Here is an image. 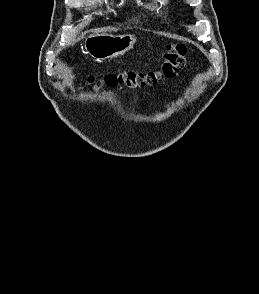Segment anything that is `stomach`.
Listing matches in <instances>:
<instances>
[{
	"label": "stomach",
	"instance_id": "obj_1",
	"mask_svg": "<svg viewBox=\"0 0 259 294\" xmlns=\"http://www.w3.org/2000/svg\"><path fill=\"white\" fill-rule=\"evenodd\" d=\"M136 43L134 35H111L108 33H93L85 40V49L93 58L105 60L125 54Z\"/></svg>",
	"mask_w": 259,
	"mask_h": 294
}]
</instances>
